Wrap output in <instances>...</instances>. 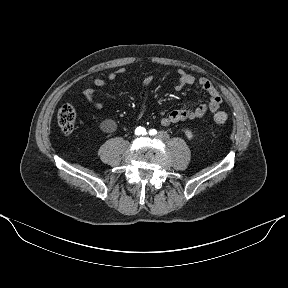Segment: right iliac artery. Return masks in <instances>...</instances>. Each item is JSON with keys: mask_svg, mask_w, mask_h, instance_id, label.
Instances as JSON below:
<instances>
[{"mask_svg": "<svg viewBox=\"0 0 288 288\" xmlns=\"http://www.w3.org/2000/svg\"><path fill=\"white\" fill-rule=\"evenodd\" d=\"M135 134H136V135H144V134H146V130H145V128H143V127H138V128H136V130H135Z\"/></svg>", "mask_w": 288, "mask_h": 288, "instance_id": "82829eb1", "label": "right iliac artery"}]
</instances>
